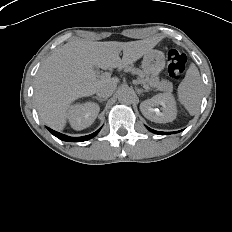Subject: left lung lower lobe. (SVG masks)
Returning a JSON list of instances; mask_svg holds the SVG:
<instances>
[{
    "label": "left lung lower lobe",
    "instance_id": "left-lung-lower-lobe-1",
    "mask_svg": "<svg viewBox=\"0 0 232 232\" xmlns=\"http://www.w3.org/2000/svg\"><path fill=\"white\" fill-rule=\"evenodd\" d=\"M148 128V127H147ZM151 132H153V133H156V134H162V135H168V134H170L171 132H159V131H155V130H152V129H150V128H148Z\"/></svg>",
    "mask_w": 232,
    "mask_h": 232
}]
</instances>
